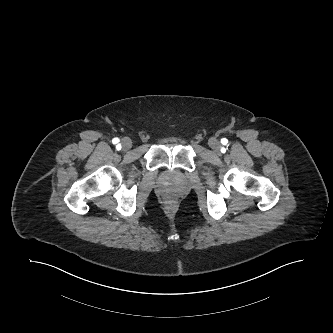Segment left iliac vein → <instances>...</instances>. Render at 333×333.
<instances>
[{
    "mask_svg": "<svg viewBox=\"0 0 333 333\" xmlns=\"http://www.w3.org/2000/svg\"><path fill=\"white\" fill-rule=\"evenodd\" d=\"M209 145L210 147L213 149L214 152L218 153L220 151L221 148V144L218 140H216L215 138H212L209 141Z\"/></svg>",
    "mask_w": 333,
    "mask_h": 333,
    "instance_id": "left-iliac-vein-1",
    "label": "left iliac vein"
}]
</instances>
